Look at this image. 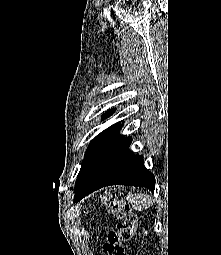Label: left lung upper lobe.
<instances>
[{
  "instance_id": "5c2ea615",
  "label": "left lung upper lobe",
  "mask_w": 221,
  "mask_h": 255,
  "mask_svg": "<svg viewBox=\"0 0 221 255\" xmlns=\"http://www.w3.org/2000/svg\"><path fill=\"white\" fill-rule=\"evenodd\" d=\"M114 112V109H111L107 112H105L103 114V118H107L109 116H111ZM119 125V123L110 126L108 129L104 130L103 132H101L99 135H97L89 144V147L86 150L85 156H84V160L81 166V169L79 171V174L77 176V181L81 175V172L83 170V168L85 167L86 163L88 162L89 158L91 157V155L93 154V152L97 149V147L102 143V141ZM76 181V183H77Z\"/></svg>"
}]
</instances>
